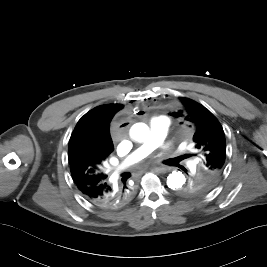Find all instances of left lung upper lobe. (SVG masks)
<instances>
[{
    "label": "left lung upper lobe",
    "mask_w": 267,
    "mask_h": 267,
    "mask_svg": "<svg viewBox=\"0 0 267 267\" xmlns=\"http://www.w3.org/2000/svg\"><path fill=\"white\" fill-rule=\"evenodd\" d=\"M185 119L195 126L193 141L203 155L201 169L179 193L183 196L210 192L220 180L225 168L226 141L222 126L216 117L201 104L182 98ZM177 117V114L172 113Z\"/></svg>",
    "instance_id": "left-lung-upper-lobe-1"
}]
</instances>
